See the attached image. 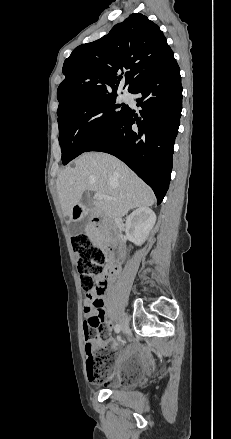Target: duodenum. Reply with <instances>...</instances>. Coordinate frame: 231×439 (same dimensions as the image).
Returning a JSON list of instances; mask_svg holds the SVG:
<instances>
[{
    "label": "duodenum",
    "mask_w": 231,
    "mask_h": 439,
    "mask_svg": "<svg viewBox=\"0 0 231 439\" xmlns=\"http://www.w3.org/2000/svg\"><path fill=\"white\" fill-rule=\"evenodd\" d=\"M100 224H101V218L98 217V216L94 217L91 220V226H92V232L93 233H96L98 231V229L100 227ZM116 229H118V227H116ZM105 248L107 250H111V249L114 248V244L111 243L109 245H106ZM118 268H119V266L117 265V263L114 260H112V270H115V269L117 270Z\"/></svg>",
    "instance_id": "duodenum-1"
}]
</instances>
